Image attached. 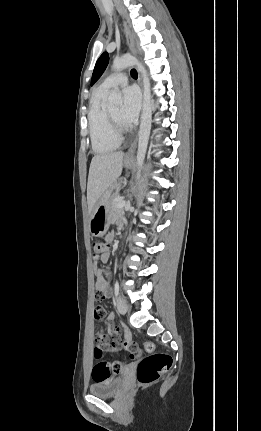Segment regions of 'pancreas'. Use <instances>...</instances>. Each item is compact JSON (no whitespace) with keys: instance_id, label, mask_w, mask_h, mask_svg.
I'll return each instance as SVG.
<instances>
[{"instance_id":"pancreas-1","label":"pancreas","mask_w":261,"mask_h":431,"mask_svg":"<svg viewBox=\"0 0 261 431\" xmlns=\"http://www.w3.org/2000/svg\"><path fill=\"white\" fill-rule=\"evenodd\" d=\"M122 200V198L119 195H116L112 201H111V216L113 218L118 217L120 214L123 213L122 208H118L117 204Z\"/></svg>"}]
</instances>
